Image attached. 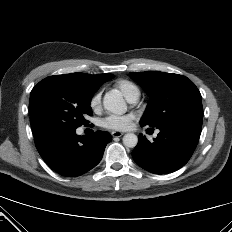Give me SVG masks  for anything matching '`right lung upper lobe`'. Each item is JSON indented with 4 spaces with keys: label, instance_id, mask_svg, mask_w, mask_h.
<instances>
[{
    "label": "right lung upper lobe",
    "instance_id": "obj_1",
    "mask_svg": "<svg viewBox=\"0 0 232 232\" xmlns=\"http://www.w3.org/2000/svg\"><path fill=\"white\" fill-rule=\"evenodd\" d=\"M76 75H79L83 78H85L86 80H88L91 85L96 88L97 90L99 89V87L107 80H109L110 78V74H98V75H89V74H85V73H73Z\"/></svg>",
    "mask_w": 232,
    "mask_h": 232
}]
</instances>
